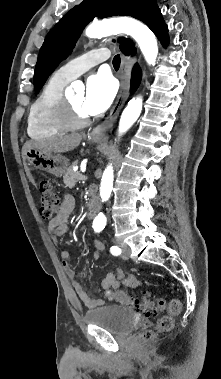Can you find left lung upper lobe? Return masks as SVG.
Returning <instances> with one entry per match:
<instances>
[{"label":"left lung upper lobe","instance_id":"5c2ea615","mask_svg":"<svg viewBox=\"0 0 221 379\" xmlns=\"http://www.w3.org/2000/svg\"><path fill=\"white\" fill-rule=\"evenodd\" d=\"M156 0H84L67 12L50 30L39 51L34 73L36 93L48 76L72 51L83 28L95 16L100 18L128 15L141 20ZM120 38L118 42H121Z\"/></svg>","mask_w":221,"mask_h":379}]
</instances>
